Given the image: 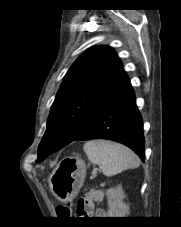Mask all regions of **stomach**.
I'll return each instance as SVG.
<instances>
[{"label": "stomach", "instance_id": "obj_1", "mask_svg": "<svg viewBox=\"0 0 181 227\" xmlns=\"http://www.w3.org/2000/svg\"><path fill=\"white\" fill-rule=\"evenodd\" d=\"M86 176V164L78 157L62 159L49 177V187L61 202L72 200L82 187Z\"/></svg>", "mask_w": 181, "mask_h": 227}]
</instances>
